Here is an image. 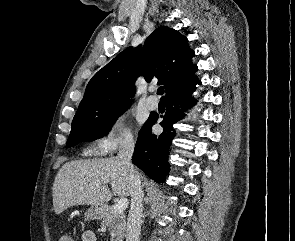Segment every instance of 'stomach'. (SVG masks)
Here are the masks:
<instances>
[{
	"label": "stomach",
	"instance_id": "obj_1",
	"mask_svg": "<svg viewBox=\"0 0 295 241\" xmlns=\"http://www.w3.org/2000/svg\"><path fill=\"white\" fill-rule=\"evenodd\" d=\"M105 214L104 205L92 204L85 212L86 220L101 219Z\"/></svg>",
	"mask_w": 295,
	"mask_h": 241
}]
</instances>
